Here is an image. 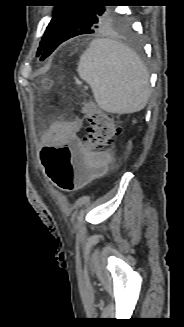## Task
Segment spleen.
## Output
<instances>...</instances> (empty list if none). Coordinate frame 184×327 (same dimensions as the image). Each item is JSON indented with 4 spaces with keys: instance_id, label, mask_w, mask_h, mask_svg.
<instances>
[{
    "instance_id": "spleen-1",
    "label": "spleen",
    "mask_w": 184,
    "mask_h": 327,
    "mask_svg": "<svg viewBox=\"0 0 184 327\" xmlns=\"http://www.w3.org/2000/svg\"><path fill=\"white\" fill-rule=\"evenodd\" d=\"M77 72L106 112L134 113L149 100L146 67L132 50L115 40H93L80 57Z\"/></svg>"
}]
</instances>
